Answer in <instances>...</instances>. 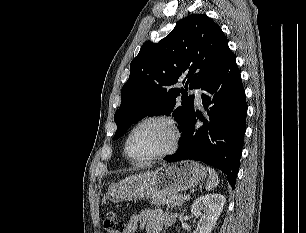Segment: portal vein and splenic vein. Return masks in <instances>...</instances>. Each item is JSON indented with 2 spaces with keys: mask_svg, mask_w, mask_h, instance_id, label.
<instances>
[{
  "mask_svg": "<svg viewBox=\"0 0 306 233\" xmlns=\"http://www.w3.org/2000/svg\"><path fill=\"white\" fill-rule=\"evenodd\" d=\"M183 199H184V200H189V199H190V195H185V196L183 197Z\"/></svg>",
  "mask_w": 306,
  "mask_h": 233,
  "instance_id": "18ae733b",
  "label": "portal vein and splenic vein"
}]
</instances>
